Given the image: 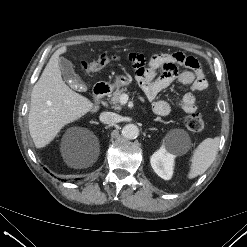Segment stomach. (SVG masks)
Listing matches in <instances>:
<instances>
[{"label": "stomach", "instance_id": "obj_1", "mask_svg": "<svg viewBox=\"0 0 247 247\" xmlns=\"http://www.w3.org/2000/svg\"><path fill=\"white\" fill-rule=\"evenodd\" d=\"M132 79L129 75H118L115 77V80L113 82V87H123L128 86L131 83Z\"/></svg>", "mask_w": 247, "mask_h": 247}]
</instances>
